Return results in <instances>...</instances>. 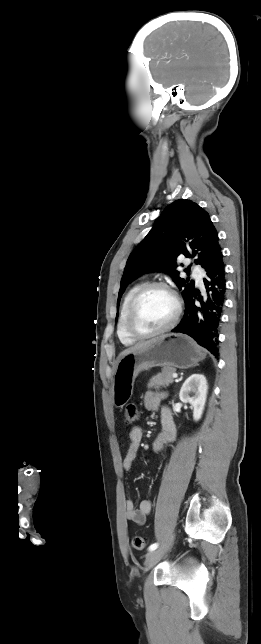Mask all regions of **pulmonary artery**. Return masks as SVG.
<instances>
[{"label": "pulmonary artery", "mask_w": 261, "mask_h": 644, "mask_svg": "<svg viewBox=\"0 0 261 644\" xmlns=\"http://www.w3.org/2000/svg\"><path fill=\"white\" fill-rule=\"evenodd\" d=\"M193 274H194V277L197 280V283L200 286H202L203 285V279H202V273L200 272V270L198 268L194 267L193 268Z\"/></svg>", "instance_id": "obj_1"}]
</instances>
